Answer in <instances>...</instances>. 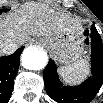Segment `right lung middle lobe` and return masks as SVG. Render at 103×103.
I'll return each instance as SVG.
<instances>
[{
  "label": "right lung middle lobe",
  "mask_w": 103,
  "mask_h": 103,
  "mask_svg": "<svg viewBox=\"0 0 103 103\" xmlns=\"http://www.w3.org/2000/svg\"><path fill=\"white\" fill-rule=\"evenodd\" d=\"M3 11H7V10H1L0 13H2Z\"/></svg>",
  "instance_id": "dd1d6c3e"
}]
</instances>
